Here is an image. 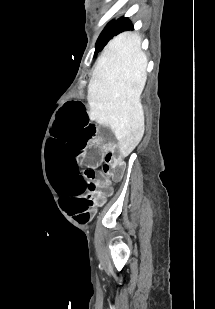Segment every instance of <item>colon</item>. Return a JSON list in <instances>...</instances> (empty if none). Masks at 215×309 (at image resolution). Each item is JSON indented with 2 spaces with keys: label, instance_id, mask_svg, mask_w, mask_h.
<instances>
[{
  "label": "colon",
  "instance_id": "1",
  "mask_svg": "<svg viewBox=\"0 0 215 309\" xmlns=\"http://www.w3.org/2000/svg\"><path fill=\"white\" fill-rule=\"evenodd\" d=\"M103 160L104 168L106 170H112L115 174H119L121 172V163L117 160V156L112 152H105L103 154Z\"/></svg>",
  "mask_w": 215,
  "mask_h": 309
}]
</instances>
